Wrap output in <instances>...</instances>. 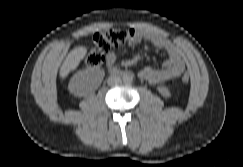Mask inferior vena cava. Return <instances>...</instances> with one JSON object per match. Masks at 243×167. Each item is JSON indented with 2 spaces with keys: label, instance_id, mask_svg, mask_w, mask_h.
I'll return each mask as SVG.
<instances>
[{
  "label": "inferior vena cava",
  "instance_id": "obj_1",
  "mask_svg": "<svg viewBox=\"0 0 243 167\" xmlns=\"http://www.w3.org/2000/svg\"><path fill=\"white\" fill-rule=\"evenodd\" d=\"M121 82V78L119 77V76H116V75H112V76H110L109 78H108V80H107V83L109 84V85H116V84H118V83H120Z\"/></svg>",
  "mask_w": 243,
  "mask_h": 167
}]
</instances>
